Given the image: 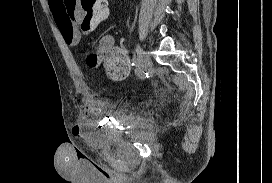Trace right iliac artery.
<instances>
[{
  "label": "right iliac artery",
  "instance_id": "1",
  "mask_svg": "<svg viewBox=\"0 0 272 183\" xmlns=\"http://www.w3.org/2000/svg\"><path fill=\"white\" fill-rule=\"evenodd\" d=\"M138 65H139V59L134 57L132 59V66L138 67Z\"/></svg>",
  "mask_w": 272,
  "mask_h": 183
}]
</instances>
